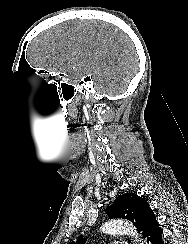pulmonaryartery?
Segmentation results:
<instances>
[{
	"label": "pulmonary artery",
	"mask_w": 188,
	"mask_h": 244,
	"mask_svg": "<svg viewBox=\"0 0 188 244\" xmlns=\"http://www.w3.org/2000/svg\"><path fill=\"white\" fill-rule=\"evenodd\" d=\"M112 244H128L127 242H113Z\"/></svg>",
	"instance_id": "pulmonary-artery-1"
}]
</instances>
